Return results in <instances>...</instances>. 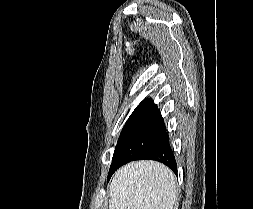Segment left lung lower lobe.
Listing matches in <instances>:
<instances>
[{
	"mask_svg": "<svg viewBox=\"0 0 253 209\" xmlns=\"http://www.w3.org/2000/svg\"><path fill=\"white\" fill-rule=\"evenodd\" d=\"M135 160H155L167 165L177 175V163L169 143L166 129L157 139L152 141L137 155H131L121 160L113 161L108 173V181L113 173L124 164Z\"/></svg>",
	"mask_w": 253,
	"mask_h": 209,
	"instance_id": "1",
	"label": "left lung lower lobe"
}]
</instances>
